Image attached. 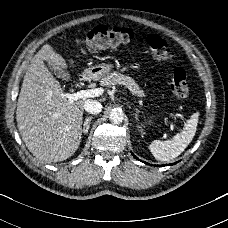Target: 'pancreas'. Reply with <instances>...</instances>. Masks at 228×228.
Listing matches in <instances>:
<instances>
[{
	"instance_id": "pancreas-1",
	"label": "pancreas",
	"mask_w": 228,
	"mask_h": 228,
	"mask_svg": "<svg viewBox=\"0 0 228 228\" xmlns=\"http://www.w3.org/2000/svg\"><path fill=\"white\" fill-rule=\"evenodd\" d=\"M100 84L107 87H111L112 85L117 84L124 85L132 92L133 95H136L138 97L144 96V91L140 89L139 85L135 82L133 78L125 76L116 71L102 77Z\"/></svg>"
}]
</instances>
